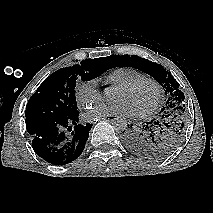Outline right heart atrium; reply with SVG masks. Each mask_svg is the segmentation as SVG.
<instances>
[{
    "mask_svg": "<svg viewBox=\"0 0 213 213\" xmlns=\"http://www.w3.org/2000/svg\"><path fill=\"white\" fill-rule=\"evenodd\" d=\"M75 97L82 107H90L102 99V92L95 80L80 81L76 85Z\"/></svg>",
    "mask_w": 213,
    "mask_h": 213,
    "instance_id": "obj_1",
    "label": "right heart atrium"
}]
</instances>
